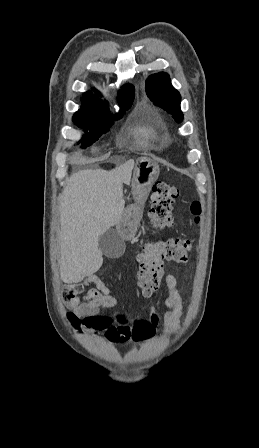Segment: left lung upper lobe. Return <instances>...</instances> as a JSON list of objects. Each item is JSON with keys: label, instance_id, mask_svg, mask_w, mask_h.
I'll list each match as a JSON object with an SVG mask.
<instances>
[{"label": "left lung upper lobe", "instance_id": "obj_1", "mask_svg": "<svg viewBox=\"0 0 259 448\" xmlns=\"http://www.w3.org/2000/svg\"><path fill=\"white\" fill-rule=\"evenodd\" d=\"M146 92L156 105L173 114L176 121L182 122L181 96L172 86L170 76L167 73L160 72L151 75L146 81Z\"/></svg>", "mask_w": 259, "mask_h": 448}]
</instances>
